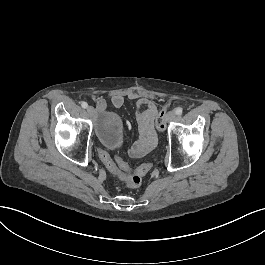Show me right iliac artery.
<instances>
[{"mask_svg":"<svg viewBox=\"0 0 265 265\" xmlns=\"http://www.w3.org/2000/svg\"><path fill=\"white\" fill-rule=\"evenodd\" d=\"M81 106H82L83 108H87V107H88V104H87L86 102H82V103H81Z\"/></svg>","mask_w":265,"mask_h":265,"instance_id":"1","label":"right iliac artery"}]
</instances>
